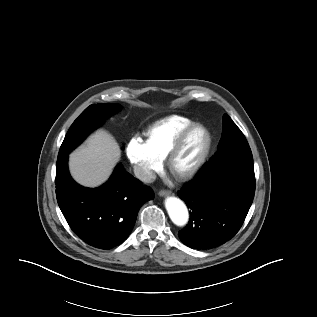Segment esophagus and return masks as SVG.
Instances as JSON below:
<instances>
[{
    "label": "esophagus",
    "instance_id": "34e87169",
    "mask_svg": "<svg viewBox=\"0 0 317 317\" xmlns=\"http://www.w3.org/2000/svg\"><path fill=\"white\" fill-rule=\"evenodd\" d=\"M159 196H168V195H170L171 194V191L170 190H160L159 191Z\"/></svg>",
    "mask_w": 317,
    "mask_h": 317
}]
</instances>
